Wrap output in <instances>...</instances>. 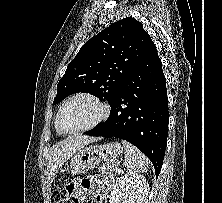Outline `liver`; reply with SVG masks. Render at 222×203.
Listing matches in <instances>:
<instances>
[{
  "label": "liver",
  "instance_id": "obj_1",
  "mask_svg": "<svg viewBox=\"0 0 222 203\" xmlns=\"http://www.w3.org/2000/svg\"><path fill=\"white\" fill-rule=\"evenodd\" d=\"M97 139L89 136H73L55 144L48 157V177L52 181L58 169L80 149L96 141Z\"/></svg>",
  "mask_w": 222,
  "mask_h": 203
}]
</instances>
